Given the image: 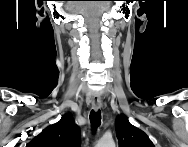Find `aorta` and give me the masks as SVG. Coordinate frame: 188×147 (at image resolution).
<instances>
[{
  "mask_svg": "<svg viewBox=\"0 0 188 147\" xmlns=\"http://www.w3.org/2000/svg\"><path fill=\"white\" fill-rule=\"evenodd\" d=\"M98 147H115V143L112 139L103 138L98 142Z\"/></svg>",
  "mask_w": 188,
  "mask_h": 147,
  "instance_id": "762f6f07",
  "label": "aorta"
}]
</instances>
